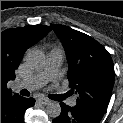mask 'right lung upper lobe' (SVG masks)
I'll list each match as a JSON object with an SVG mask.
<instances>
[{
  "label": "right lung upper lobe",
  "mask_w": 123,
  "mask_h": 123,
  "mask_svg": "<svg viewBox=\"0 0 123 123\" xmlns=\"http://www.w3.org/2000/svg\"><path fill=\"white\" fill-rule=\"evenodd\" d=\"M50 30L51 28L45 25H29L1 32V100L13 97L11 89L7 88V82L15 79V70L25 51Z\"/></svg>",
  "instance_id": "cb5924a9"
}]
</instances>
